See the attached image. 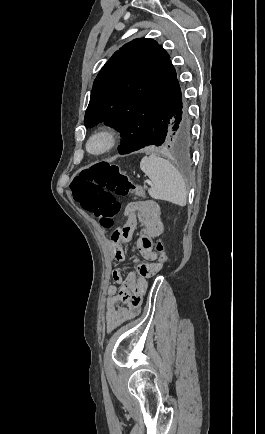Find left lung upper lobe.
Here are the masks:
<instances>
[{
	"label": "left lung upper lobe",
	"instance_id": "left-lung-upper-lobe-1",
	"mask_svg": "<svg viewBox=\"0 0 265 434\" xmlns=\"http://www.w3.org/2000/svg\"><path fill=\"white\" fill-rule=\"evenodd\" d=\"M181 89L169 55L152 39H135L108 60L94 81L85 126L116 128L121 137L156 127Z\"/></svg>",
	"mask_w": 265,
	"mask_h": 434
}]
</instances>
